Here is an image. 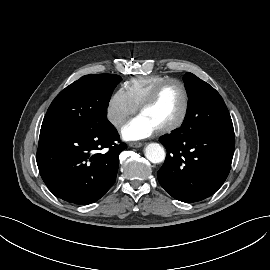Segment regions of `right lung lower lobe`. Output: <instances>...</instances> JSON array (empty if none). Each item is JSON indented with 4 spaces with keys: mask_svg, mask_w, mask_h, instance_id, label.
Returning a JSON list of instances; mask_svg holds the SVG:
<instances>
[{
    "mask_svg": "<svg viewBox=\"0 0 270 270\" xmlns=\"http://www.w3.org/2000/svg\"><path fill=\"white\" fill-rule=\"evenodd\" d=\"M119 135L109 123L98 129L40 131L37 165L48 189L58 198L74 204L99 200L113 185L118 156L127 148L116 144ZM109 148L105 153L97 150Z\"/></svg>",
    "mask_w": 270,
    "mask_h": 270,
    "instance_id": "1",
    "label": "right lung lower lobe"
}]
</instances>
